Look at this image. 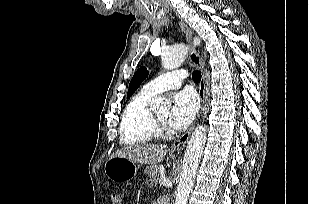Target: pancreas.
<instances>
[{"mask_svg": "<svg viewBox=\"0 0 309 204\" xmlns=\"http://www.w3.org/2000/svg\"><path fill=\"white\" fill-rule=\"evenodd\" d=\"M144 173L149 177V179L157 183L159 181L160 168L157 165L149 166L145 169Z\"/></svg>", "mask_w": 309, "mask_h": 204, "instance_id": "pancreas-1", "label": "pancreas"}]
</instances>
